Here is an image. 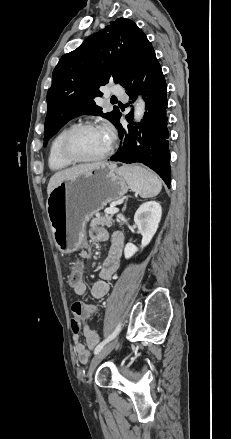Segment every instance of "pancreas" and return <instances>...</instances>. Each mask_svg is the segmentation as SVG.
<instances>
[{
	"instance_id": "1",
	"label": "pancreas",
	"mask_w": 231,
	"mask_h": 439,
	"mask_svg": "<svg viewBox=\"0 0 231 439\" xmlns=\"http://www.w3.org/2000/svg\"><path fill=\"white\" fill-rule=\"evenodd\" d=\"M113 224H114V220L111 214H105L101 217L93 218L90 222L91 227H95V226L111 227Z\"/></svg>"
}]
</instances>
